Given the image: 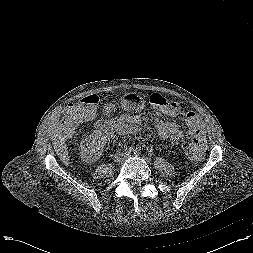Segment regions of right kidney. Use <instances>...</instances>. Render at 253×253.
I'll use <instances>...</instances> for the list:
<instances>
[{"instance_id": "1", "label": "right kidney", "mask_w": 253, "mask_h": 253, "mask_svg": "<svg viewBox=\"0 0 253 253\" xmlns=\"http://www.w3.org/2000/svg\"><path fill=\"white\" fill-rule=\"evenodd\" d=\"M106 136L101 131H94L82 140L80 144V156L84 163H95L102 155L106 144Z\"/></svg>"}]
</instances>
